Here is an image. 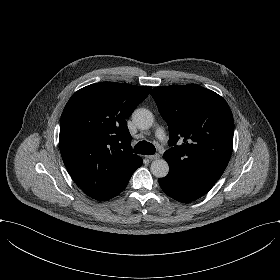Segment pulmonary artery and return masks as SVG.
<instances>
[{"label":"pulmonary artery","instance_id":"obj_1","mask_svg":"<svg viewBox=\"0 0 280 280\" xmlns=\"http://www.w3.org/2000/svg\"><path fill=\"white\" fill-rule=\"evenodd\" d=\"M157 136L161 141H165L166 140V135L164 133V131L162 129H159L157 131Z\"/></svg>","mask_w":280,"mask_h":280}]
</instances>
